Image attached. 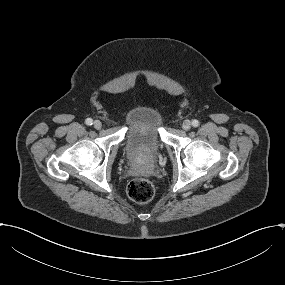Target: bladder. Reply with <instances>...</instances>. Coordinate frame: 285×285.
Listing matches in <instances>:
<instances>
[{"instance_id":"31cf9c89","label":"bladder","mask_w":285,"mask_h":285,"mask_svg":"<svg viewBox=\"0 0 285 285\" xmlns=\"http://www.w3.org/2000/svg\"><path fill=\"white\" fill-rule=\"evenodd\" d=\"M161 113L148 107L134 109L128 119L126 135L123 138L121 151L133 157H154L163 146L160 124Z\"/></svg>"}]
</instances>
